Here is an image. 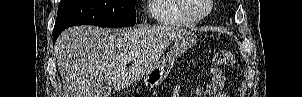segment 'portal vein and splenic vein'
Segmentation results:
<instances>
[{
  "instance_id": "obj_1",
  "label": "portal vein and splenic vein",
  "mask_w": 302,
  "mask_h": 97,
  "mask_svg": "<svg viewBox=\"0 0 302 97\" xmlns=\"http://www.w3.org/2000/svg\"><path fill=\"white\" fill-rule=\"evenodd\" d=\"M131 59H132V58H131V57H129L127 60H128V61H130Z\"/></svg>"
}]
</instances>
